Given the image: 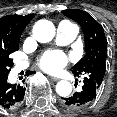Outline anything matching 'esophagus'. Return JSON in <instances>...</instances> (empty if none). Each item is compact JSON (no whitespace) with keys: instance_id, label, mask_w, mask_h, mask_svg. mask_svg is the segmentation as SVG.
Returning a JSON list of instances; mask_svg holds the SVG:
<instances>
[{"instance_id":"1","label":"esophagus","mask_w":117,"mask_h":117,"mask_svg":"<svg viewBox=\"0 0 117 117\" xmlns=\"http://www.w3.org/2000/svg\"><path fill=\"white\" fill-rule=\"evenodd\" d=\"M50 79H51L52 81H55V82L59 81V78L52 77V76H50Z\"/></svg>"}]
</instances>
